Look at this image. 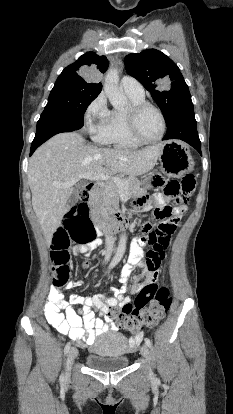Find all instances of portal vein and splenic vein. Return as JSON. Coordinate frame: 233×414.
<instances>
[{
  "label": "portal vein and splenic vein",
  "instance_id": "portal-vein-and-splenic-vein-1",
  "mask_svg": "<svg viewBox=\"0 0 233 414\" xmlns=\"http://www.w3.org/2000/svg\"><path fill=\"white\" fill-rule=\"evenodd\" d=\"M85 178L90 179V180H101V181H110L113 182L114 184H116L118 187L122 188V189H127L128 188V184L127 182H125L123 179L119 178V177H112L110 175H106V174H96V173H88Z\"/></svg>",
  "mask_w": 233,
  "mask_h": 414
}]
</instances>
